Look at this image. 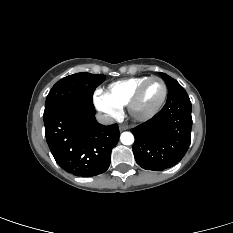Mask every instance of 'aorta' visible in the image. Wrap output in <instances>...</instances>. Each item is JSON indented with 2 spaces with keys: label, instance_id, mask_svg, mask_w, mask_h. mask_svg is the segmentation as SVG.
Here are the masks:
<instances>
[{
  "label": "aorta",
  "instance_id": "762f6f07",
  "mask_svg": "<svg viewBox=\"0 0 233 233\" xmlns=\"http://www.w3.org/2000/svg\"><path fill=\"white\" fill-rule=\"evenodd\" d=\"M120 141L124 145H131L134 143V136L130 132H123L120 136Z\"/></svg>",
  "mask_w": 233,
  "mask_h": 233
}]
</instances>
